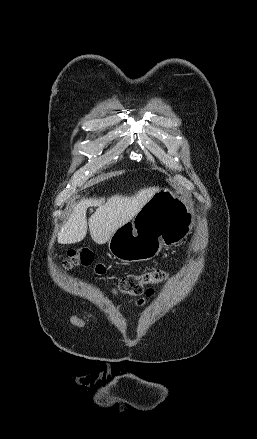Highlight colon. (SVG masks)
<instances>
[{"instance_id":"colon-1","label":"colon","mask_w":257,"mask_h":439,"mask_svg":"<svg viewBox=\"0 0 257 439\" xmlns=\"http://www.w3.org/2000/svg\"><path fill=\"white\" fill-rule=\"evenodd\" d=\"M93 253L87 248L72 250L62 258L65 268L70 269L76 265H89L93 261ZM168 274L163 270H153L143 274H127L122 277L114 289L115 293L138 296L143 293V287L150 283L164 282Z\"/></svg>"}]
</instances>
